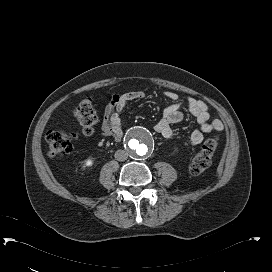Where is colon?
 I'll return each mask as SVG.
<instances>
[{"instance_id":"colon-1","label":"colon","mask_w":272,"mask_h":272,"mask_svg":"<svg viewBox=\"0 0 272 272\" xmlns=\"http://www.w3.org/2000/svg\"><path fill=\"white\" fill-rule=\"evenodd\" d=\"M74 116L79 124L81 132L91 135L97 124V112L90 99L82 100L74 111ZM78 134L65 129H55L46 133L49 154L51 156H63L72 151L73 144ZM218 145V138L213 137L204 142L198 154L190 163L189 169L192 174H200L211 165L212 155Z\"/></svg>"}]
</instances>
